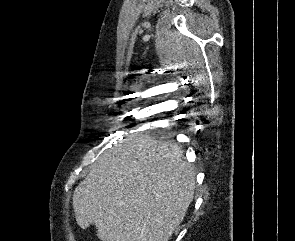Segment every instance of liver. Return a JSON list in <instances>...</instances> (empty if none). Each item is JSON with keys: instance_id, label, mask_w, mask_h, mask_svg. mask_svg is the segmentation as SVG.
<instances>
[{"instance_id": "obj_1", "label": "liver", "mask_w": 295, "mask_h": 241, "mask_svg": "<svg viewBox=\"0 0 295 241\" xmlns=\"http://www.w3.org/2000/svg\"><path fill=\"white\" fill-rule=\"evenodd\" d=\"M181 146L132 134L105 151L73 194L77 224L101 241H168L194 197Z\"/></svg>"}]
</instances>
